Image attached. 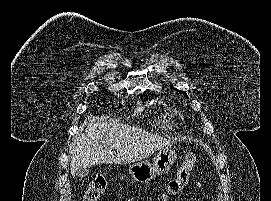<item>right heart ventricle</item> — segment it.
<instances>
[{
    "label": "right heart ventricle",
    "mask_w": 271,
    "mask_h": 201,
    "mask_svg": "<svg viewBox=\"0 0 271 201\" xmlns=\"http://www.w3.org/2000/svg\"><path fill=\"white\" fill-rule=\"evenodd\" d=\"M173 114H167L163 117L162 123L163 125L167 126V127H171L172 122H173Z\"/></svg>",
    "instance_id": "obj_1"
}]
</instances>
